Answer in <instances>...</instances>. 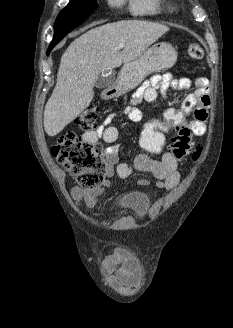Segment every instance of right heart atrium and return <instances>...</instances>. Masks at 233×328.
<instances>
[{
	"label": "right heart atrium",
	"instance_id": "d8ad5b80",
	"mask_svg": "<svg viewBox=\"0 0 233 328\" xmlns=\"http://www.w3.org/2000/svg\"><path fill=\"white\" fill-rule=\"evenodd\" d=\"M109 2L112 5L118 6V5H120L123 2V0H109Z\"/></svg>",
	"mask_w": 233,
	"mask_h": 328
}]
</instances>
